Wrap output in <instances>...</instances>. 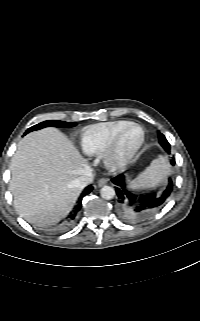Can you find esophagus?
<instances>
[{
    "label": "esophagus",
    "mask_w": 200,
    "mask_h": 321,
    "mask_svg": "<svg viewBox=\"0 0 200 321\" xmlns=\"http://www.w3.org/2000/svg\"><path fill=\"white\" fill-rule=\"evenodd\" d=\"M106 184H107V179H105V178L99 179V181H98L99 187L105 186Z\"/></svg>",
    "instance_id": "obj_1"
}]
</instances>
